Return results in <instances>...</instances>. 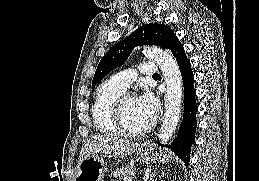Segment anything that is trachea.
<instances>
[{
	"label": "trachea",
	"instance_id": "trachea-1",
	"mask_svg": "<svg viewBox=\"0 0 259 181\" xmlns=\"http://www.w3.org/2000/svg\"><path fill=\"white\" fill-rule=\"evenodd\" d=\"M154 76H159V74H158V73H156V74H154Z\"/></svg>",
	"mask_w": 259,
	"mask_h": 181
}]
</instances>
